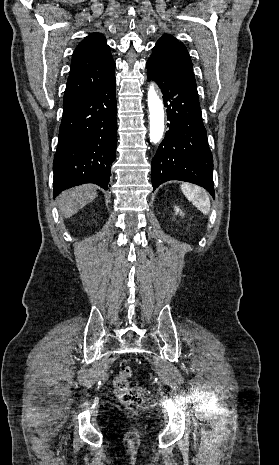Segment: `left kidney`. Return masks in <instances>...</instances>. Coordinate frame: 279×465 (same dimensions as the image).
<instances>
[{
  "label": "left kidney",
  "mask_w": 279,
  "mask_h": 465,
  "mask_svg": "<svg viewBox=\"0 0 279 465\" xmlns=\"http://www.w3.org/2000/svg\"><path fill=\"white\" fill-rule=\"evenodd\" d=\"M175 211H176V213L180 212V214H182L181 210L178 207H175Z\"/></svg>",
  "instance_id": "5707ae66"
}]
</instances>
